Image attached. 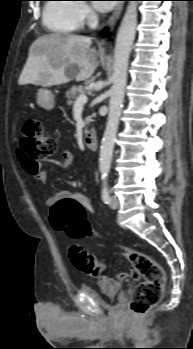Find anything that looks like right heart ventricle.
I'll list each match as a JSON object with an SVG mask.
<instances>
[{"label":"right heart ventricle","instance_id":"1","mask_svg":"<svg viewBox=\"0 0 193 349\" xmlns=\"http://www.w3.org/2000/svg\"><path fill=\"white\" fill-rule=\"evenodd\" d=\"M43 24L56 35H70L77 31L82 21L77 13V3L72 0H49L43 10Z\"/></svg>","mask_w":193,"mask_h":349}]
</instances>
